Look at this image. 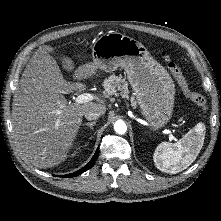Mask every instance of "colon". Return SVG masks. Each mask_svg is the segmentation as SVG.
I'll return each instance as SVG.
<instances>
[{
  "label": "colon",
  "instance_id": "obj_1",
  "mask_svg": "<svg viewBox=\"0 0 221 221\" xmlns=\"http://www.w3.org/2000/svg\"><path fill=\"white\" fill-rule=\"evenodd\" d=\"M162 58L167 63L168 69L181 87L184 94L193 101L202 111H206L207 109V100L206 98L198 92L193 91L185 76L182 73L181 68L171 60V58L166 54L162 53Z\"/></svg>",
  "mask_w": 221,
  "mask_h": 221
}]
</instances>
